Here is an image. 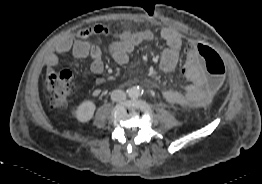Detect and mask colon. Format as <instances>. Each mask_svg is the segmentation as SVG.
Returning <instances> with one entry per match:
<instances>
[{"mask_svg": "<svg viewBox=\"0 0 262 184\" xmlns=\"http://www.w3.org/2000/svg\"><path fill=\"white\" fill-rule=\"evenodd\" d=\"M194 52L204 64L209 90L215 92L224 83L226 73L224 62L218 53L206 44L195 43ZM47 88L52 108L67 107L74 93L73 74L68 70L50 73L47 78Z\"/></svg>", "mask_w": 262, "mask_h": 184, "instance_id": "obj_1", "label": "colon"}]
</instances>
